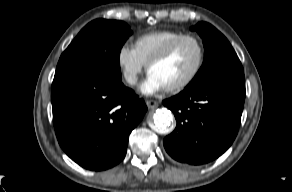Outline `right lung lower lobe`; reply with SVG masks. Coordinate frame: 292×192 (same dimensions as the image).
Returning a JSON list of instances; mask_svg holds the SVG:
<instances>
[{
	"label": "right lung lower lobe",
	"mask_w": 292,
	"mask_h": 192,
	"mask_svg": "<svg viewBox=\"0 0 292 192\" xmlns=\"http://www.w3.org/2000/svg\"><path fill=\"white\" fill-rule=\"evenodd\" d=\"M51 101L65 153L89 170H105L126 155L130 132L147 107L121 80L78 67L56 68Z\"/></svg>",
	"instance_id": "98d812e1"
}]
</instances>
